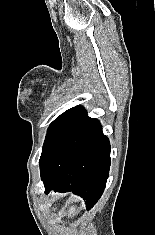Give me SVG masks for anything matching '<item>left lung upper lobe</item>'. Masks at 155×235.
Returning a JSON list of instances; mask_svg holds the SVG:
<instances>
[{
	"label": "left lung upper lobe",
	"mask_w": 155,
	"mask_h": 235,
	"mask_svg": "<svg viewBox=\"0 0 155 235\" xmlns=\"http://www.w3.org/2000/svg\"><path fill=\"white\" fill-rule=\"evenodd\" d=\"M88 118L82 106H76L61 114L49 126L40 157V168L55 148L82 122Z\"/></svg>",
	"instance_id": "obj_1"
}]
</instances>
